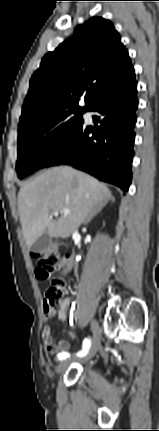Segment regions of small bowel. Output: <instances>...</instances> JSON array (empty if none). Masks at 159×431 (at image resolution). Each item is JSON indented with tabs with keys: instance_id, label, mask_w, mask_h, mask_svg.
I'll return each instance as SVG.
<instances>
[{
	"instance_id": "1",
	"label": "small bowel",
	"mask_w": 159,
	"mask_h": 431,
	"mask_svg": "<svg viewBox=\"0 0 159 431\" xmlns=\"http://www.w3.org/2000/svg\"><path fill=\"white\" fill-rule=\"evenodd\" d=\"M72 262L69 257H65L62 259V261L58 264L57 269L61 270L63 273H67L72 269ZM70 305V299L66 298L62 301L60 304V307L57 311L58 319L61 322H65L67 318V310ZM68 329L64 328L62 330L63 333H65ZM42 336L44 340V344L47 348V351L51 355H59L62 352H67V350L70 347V344L66 340H60L57 344H54L53 342V336L51 332V328L49 325H44L42 329Z\"/></svg>"
}]
</instances>
